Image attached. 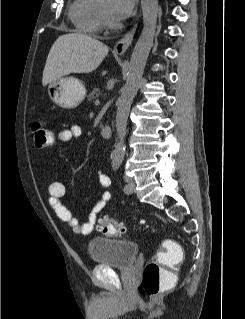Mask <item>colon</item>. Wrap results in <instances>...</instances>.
I'll return each instance as SVG.
<instances>
[{
  "mask_svg": "<svg viewBox=\"0 0 245 319\" xmlns=\"http://www.w3.org/2000/svg\"><path fill=\"white\" fill-rule=\"evenodd\" d=\"M34 142L37 147H48L54 142L52 131L45 128L41 121L33 122L31 126ZM97 229L106 235L122 237L126 233V228L117 220L103 217L97 222ZM184 259L183 249L172 240H164L161 249L147 263L143 270V278L138 286V295L146 303H150L163 291L172 279L169 277L166 267H171L175 263Z\"/></svg>",
  "mask_w": 245,
  "mask_h": 319,
  "instance_id": "1",
  "label": "colon"
}]
</instances>
